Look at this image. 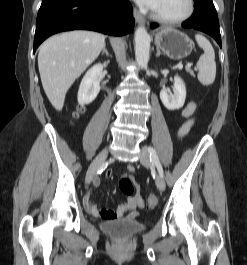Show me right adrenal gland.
<instances>
[{
  "label": "right adrenal gland",
  "mask_w": 247,
  "mask_h": 265,
  "mask_svg": "<svg viewBox=\"0 0 247 265\" xmlns=\"http://www.w3.org/2000/svg\"><path fill=\"white\" fill-rule=\"evenodd\" d=\"M103 54H106L107 56H109V52L106 49V45H104V47H103L102 55Z\"/></svg>",
  "instance_id": "obj_1"
}]
</instances>
